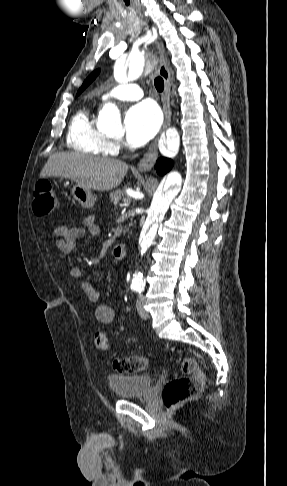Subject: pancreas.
<instances>
[{"label":"pancreas","mask_w":287,"mask_h":486,"mask_svg":"<svg viewBox=\"0 0 287 486\" xmlns=\"http://www.w3.org/2000/svg\"><path fill=\"white\" fill-rule=\"evenodd\" d=\"M122 196H123V192L121 190H116V191L110 193V199L114 203V205H117L119 203ZM123 199H125V198H123Z\"/></svg>","instance_id":"obj_1"}]
</instances>
